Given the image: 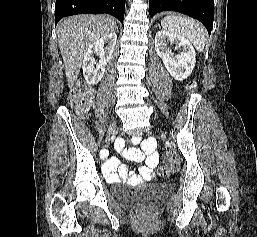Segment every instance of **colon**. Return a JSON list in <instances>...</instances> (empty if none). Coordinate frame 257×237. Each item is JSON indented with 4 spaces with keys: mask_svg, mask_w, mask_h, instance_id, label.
Instances as JSON below:
<instances>
[{
    "mask_svg": "<svg viewBox=\"0 0 257 237\" xmlns=\"http://www.w3.org/2000/svg\"><path fill=\"white\" fill-rule=\"evenodd\" d=\"M194 86L191 83L189 88L192 89ZM92 97V89L85 82L80 81L71 93L70 103L78 113H85L91 107ZM164 159L165 164L159 169V173L162 176H167L176 167L177 158L174 152H168Z\"/></svg>",
    "mask_w": 257,
    "mask_h": 237,
    "instance_id": "obj_1",
    "label": "colon"
}]
</instances>
